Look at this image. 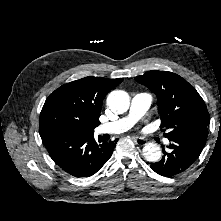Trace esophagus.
<instances>
[{"instance_id": "1", "label": "esophagus", "mask_w": 221, "mask_h": 221, "mask_svg": "<svg viewBox=\"0 0 221 221\" xmlns=\"http://www.w3.org/2000/svg\"><path fill=\"white\" fill-rule=\"evenodd\" d=\"M133 140L139 146H144L147 143V140L144 138L133 137Z\"/></svg>"}]
</instances>
